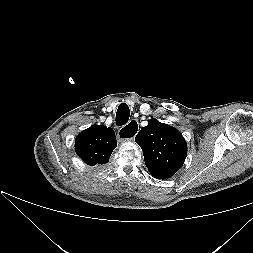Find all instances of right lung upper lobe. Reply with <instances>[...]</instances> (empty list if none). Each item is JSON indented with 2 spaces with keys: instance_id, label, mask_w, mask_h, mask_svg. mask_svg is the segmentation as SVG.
<instances>
[{
  "instance_id": "1",
  "label": "right lung upper lobe",
  "mask_w": 253,
  "mask_h": 253,
  "mask_svg": "<svg viewBox=\"0 0 253 253\" xmlns=\"http://www.w3.org/2000/svg\"><path fill=\"white\" fill-rule=\"evenodd\" d=\"M116 146L114 130L103 125H92L75 140L77 155L90 166L107 163Z\"/></svg>"
}]
</instances>
